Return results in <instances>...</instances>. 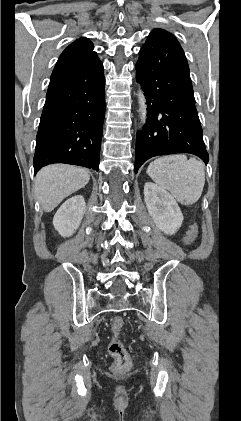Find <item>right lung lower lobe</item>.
<instances>
[{
	"label": "right lung lower lobe",
	"instance_id": "1",
	"mask_svg": "<svg viewBox=\"0 0 241 421\" xmlns=\"http://www.w3.org/2000/svg\"><path fill=\"white\" fill-rule=\"evenodd\" d=\"M105 78L98 57L51 76L33 159L35 173L52 163L99 169Z\"/></svg>",
	"mask_w": 241,
	"mask_h": 421
}]
</instances>
